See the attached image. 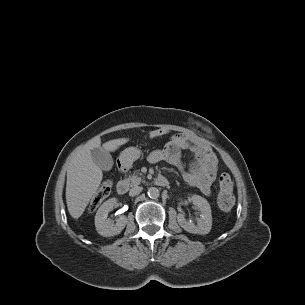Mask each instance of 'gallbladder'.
<instances>
[{
    "label": "gallbladder",
    "mask_w": 305,
    "mask_h": 305,
    "mask_svg": "<svg viewBox=\"0 0 305 305\" xmlns=\"http://www.w3.org/2000/svg\"><path fill=\"white\" fill-rule=\"evenodd\" d=\"M92 160L96 165H98L102 170L109 171L113 167V158L109 151L103 147L93 148L91 150Z\"/></svg>",
    "instance_id": "bac80fb5"
}]
</instances>
